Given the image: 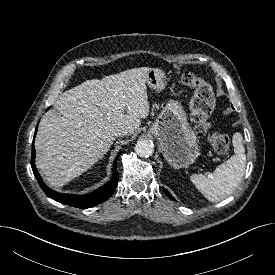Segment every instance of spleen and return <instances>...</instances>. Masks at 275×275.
<instances>
[{"label":"spleen","mask_w":275,"mask_h":275,"mask_svg":"<svg viewBox=\"0 0 275 275\" xmlns=\"http://www.w3.org/2000/svg\"><path fill=\"white\" fill-rule=\"evenodd\" d=\"M242 134L233 135L232 143L235 155L219 165L211 175L191 176L192 183L211 202H219L234 192L241 181L246 168V155Z\"/></svg>","instance_id":"3e777b00"}]
</instances>
